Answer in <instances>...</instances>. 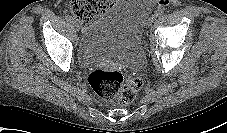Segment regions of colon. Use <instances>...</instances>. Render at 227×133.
Instances as JSON below:
<instances>
[{"label": "colon", "mask_w": 227, "mask_h": 133, "mask_svg": "<svg viewBox=\"0 0 227 133\" xmlns=\"http://www.w3.org/2000/svg\"><path fill=\"white\" fill-rule=\"evenodd\" d=\"M114 0H71L70 10L83 24L95 21ZM160 5H168L169 0H160ZM89 83L96 94L104 100L116 101L121 105L131 103L142 88V80L138 76L124 79L118 71L97 69L88 77Z\"/></svg>", "instance_id": "1"}]
</instances>
